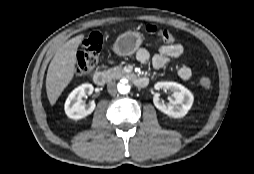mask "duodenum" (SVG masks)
I'll return each instance as SVG.
<instances>
[{
    "mask_svg": "<svg viewBox=\"0 0 254 174\" xmlns=\"http://www.w3.org/2000/svg\"><path fill=\"white\" fill-rule=\"evenodd\" d=\"M108 75L103 71H95L93 73V81L99 86H104L108 82ZM132 82L139 88H144L148 85V79L143 76H132Z\"/></svg>",
    "mask_w": 254,
    "mask_h": 174,
    "instance_id": "1",
    "label": "duodenum"
}]
</instances>
